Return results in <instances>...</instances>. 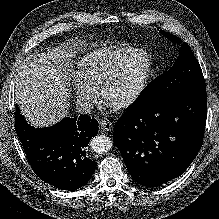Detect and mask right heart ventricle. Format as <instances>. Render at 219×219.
<instances>
[{
	"instance_id": "right-heart-ventricle-1",
	"label": "right heart ventricle",
	"mask_w": 219,
	"mask_h": 219,
	"mask_svg": "<svg viewBox=\"0 0 219 219\" xmlns=\"http://www.w3.org/2000/svg\"><path fill=\"white\" fill-rule=\"evenodd\" d=\"M134 49L133 46L126 44H109L88 49L76 62V77L97 89L112 65Z\"/></svg>"
}]
</instances>
